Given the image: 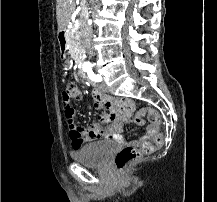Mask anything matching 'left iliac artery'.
I'll return each instance as SVG.
<instances>
[{
    "label": "left iliac artery",
    "instance_id": "44dca946",
    "mask_svg": "<svg viewBox=\"0 0 217 202\" xmlns=\"http://www.w3.org/2000/svg\"><path fill=\"white\" fill-rule=\"evenodd\" d=\"M89 73L91 74L90 79L94 82H100L102 81V77L100 75H95L94 72L92 70H89Z\"/></svg>",
    "mask_w": 217,
    "mask_h": 202
}]
</instances>
